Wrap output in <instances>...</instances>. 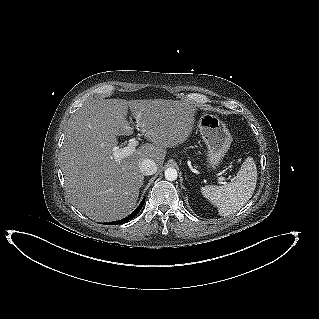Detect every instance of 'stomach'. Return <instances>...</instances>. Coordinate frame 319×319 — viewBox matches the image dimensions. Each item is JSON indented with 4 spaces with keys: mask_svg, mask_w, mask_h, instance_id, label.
I'll return each mask as SVG.
<instances>
[{
    "mask_svg": "<svg viewBox=\"0 0 319 319\" xmlns=\"http://www.w3.org/2000/svg\"><path fill=\"white\" fill-rule=\"evenodd\" d=\"M198 128L207 145L208 165L215 169L231 145V133L225 123L211 113H203L199 117Z\"/></svg>",
    "mask_w": 319,
    "mask_h": 319,
    "instance_id": "0dacf381",
    "label": "stomach"
}]
</instances>
